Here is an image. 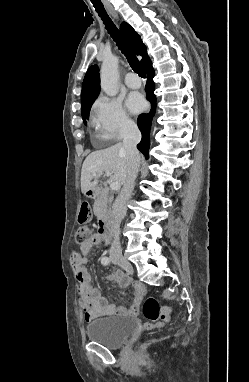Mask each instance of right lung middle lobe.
<instances>
[{
    "instance_id": "1",
    "label": "right lung middle lobe",
    "mask_w": 249,
    "mask_h": 382,
    "mask_svg": "<svg viewBox=\"0 0 249 382\" xmlns=\"http://www.w3.org/2000/svg\"><path fill=\"white\" fill-rule=\"evenodd\" d=\"M90 108H91V106L89 108H87L84 112H81L84 123H86V119L89 118Z\"/></svg>"
}]
</instances>
